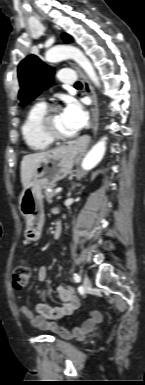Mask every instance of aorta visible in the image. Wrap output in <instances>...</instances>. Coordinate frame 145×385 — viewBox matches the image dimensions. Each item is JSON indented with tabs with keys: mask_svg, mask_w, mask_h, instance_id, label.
<instances>
[{
	"mask_svg": "<svg viewBox=\"0 0 145 385\" xmlns=\"http://www.w3.org/2000/svg\"><path fill=\"white\" fill-rule=\"evenodd\" d=\"M48 62H58L64 59H73L87 74L95 86L100 87L99 78L90 62L84 53L77 47L62 45L50 49L46 53ZM106 151V137L98 141L91 150L87 153L82 161V168L90 170L94 168L103 158Z\"/></svg>",
	"mask_w": 145,
	"mask_h": 385,
	"instance_id": "obj_1",
	"label": "aorta"
}]
</instances>
